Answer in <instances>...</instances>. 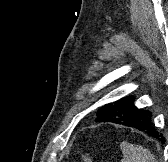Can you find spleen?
<instances>
[{
	"label": "spleen",
	"instance_id": "1",
	"mask_svg": "<svg viewBox=\"0 0 168 162\" xmlns=\"http://www.w3.org/2000/svg\"><path fill=\"white\" fill-rule=\"evenodd\" d=\"M120 148L123 154L121 162H157L155 156L141 145L123 141Z\"/></svg>",
	"mask_w": 168,
	"mask_h": 162
}]
</instances>
